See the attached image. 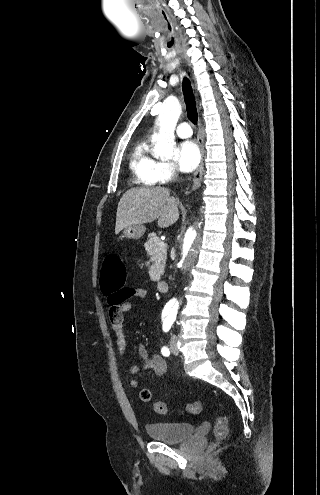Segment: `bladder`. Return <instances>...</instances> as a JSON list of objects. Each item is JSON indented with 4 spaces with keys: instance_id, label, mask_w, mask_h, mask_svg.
I'll use <instances>...</instances> for the list:
<instances>
[{
    "instance_id": "31cf9c89",
    "label": "bladder",
    "mask_w": 320,
    "mask_h": 495,
    "mask_svg": "<svg viewBox=\"0 0 320 495\" xmlns=\"http://www.w3.org/2000/svg\"><path fill=\"white\" fill-rule=\"evenodd\" d=\"M146 431L155 440L179 443L194 433L195 426L189 422H154L147 424Z\"/></svg>"
}]
</instances>
